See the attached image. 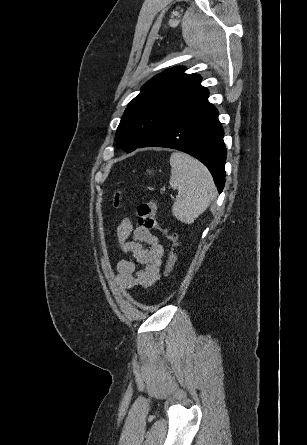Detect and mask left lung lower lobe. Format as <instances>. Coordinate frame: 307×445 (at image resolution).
Segmentation results:
<instances>
[{
    "mask_svg": "<svg viewBox=\"0 0 307 445\" xmlns=\"http://www.w3.org/2000/svg\"><path fill=\"white\" fill-rule=\"evenodd\" d=\"M217 109L207 98L147 138L138 148L157 146L188 153L210 170L218 192L225 183L226 149Z\"/></svg>",
    "mask_w": 307,
    "mask_h": 445,
    "instance_id": "obj_1",
    "label": "left lung lower lobe"
}]
</instances>
